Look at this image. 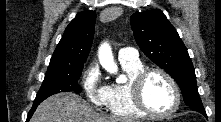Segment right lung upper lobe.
I'll list each match as a JSON object with an SVG mask.
<instances>
[{
	"mask_svg": "<svg viewBox=\"0 0 221 122\" xmlns=\"http://www.w3.org/2000/svg\"><path fill=\"white\" fill-rule=\"evenodd\" d=\"M95 20L94 11L78 13L66 27L50 60V65L84 64L91 49Z\"/></svg>",
	"mask_w": 221,
	"mask_h": 122,
	"instance_id": "right-lung-upper-lobe-1",
	"label": "right lung upper lobe"
}]
</instances>
